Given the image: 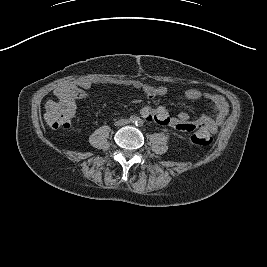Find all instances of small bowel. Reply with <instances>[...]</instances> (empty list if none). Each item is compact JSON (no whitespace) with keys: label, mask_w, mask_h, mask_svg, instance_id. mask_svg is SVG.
<instances>
[{"label":"small bowel","mask_w":267,"mask_h":267,"mask_svg":"<svg viewBox=\"0 0 267 267\" xmlns=\"http://www.w3.org/2000/svg\"><path fill=\"white\" fill-rule=\"evenodd\" d=\"M138 88L142 90L147 98L151 99L164 96L167 93V89L163 86L154 87L139 84ZM203 96L210 103L215 118L204 115L197 120L191 121L187 112H180L176 117H173L170 116L168 110L163 106L157 108L145 106L140 109V114L147 121L155 122L161 126H168L184 132L200 131L214 134L227 114V104L220 96L202 94L196 89H189L183 95L184 99L188 101H196ZM134 100L135 102H140V98H135Z\"/></svg>","instance_id":"1"}]
</instances>
